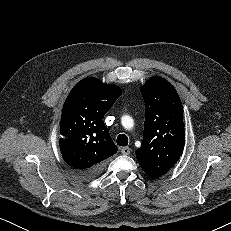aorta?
Here are the masks:
<instances>
[{
	"label": "aorta",
	"mask_w": 231,
	"mask_h": 231,
	"mask_svg": "<svg viewBox=\"0 0 231 231\" xmlns=\"http://www.w3.org/2000/svg\"><path fill=\"white\" fill-rule=\"evenodd\" d=\"M122 125L125 129H131L134 125L132 117L125 115L121 119Z\"/></svg>",
	"instance_id": "762f6f07"
}]
</instances>
